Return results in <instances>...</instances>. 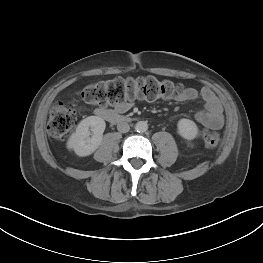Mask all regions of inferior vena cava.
<instances>
[{
    "label": "inferior vena cava",
    "mask_w": 263,
    "mask_h": 263,
    "mask_svg": "<svg viewBox=\"0 0 263 263\" xmlns=\"http://www.w3.org/2000/svg\"><path fill=\"white\" fill-rule=\"evenodd\" d=\"M117 129L121 133H126L130 130V126L127 122L123 121V122L118 123Z\"/></svg>",
    "instance_id": "1"
}]
</instances>
